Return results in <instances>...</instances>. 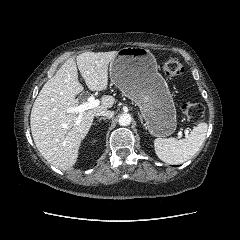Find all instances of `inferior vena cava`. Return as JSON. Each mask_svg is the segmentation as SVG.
<instances>
[{
  "label": "inferior vena cava",
  "mask_w": 240,
  "mask_h": 240,
  "mask_svg": "<svg viewBox=\"0 0 240 240\" xmlns=\"http://www.w3.org/2000/svg\"><path fill=\"white\" fill-rule=\"evenodd\" d=\"M95 116H105L107 118H112L114 116V112L109 110L98 111L95 113Z\"/></svg>",
  "instance_id": "602c4592"
}]
</instances>
